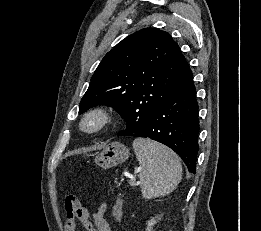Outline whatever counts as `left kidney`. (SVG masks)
I'll return each instance as SVG.
<instances>
[{"label":"left kidney","instance_id":"left-kidney-1","mask_svg":"<svg viewBox=\"0 0 261 231\" xmlns=\"http://www.w3.org/2000/svg\"><path fill=\"white\" fill-rule=\"evenodd\" d=\"M155 223H156L155 218H152L150 221H148L146 231H152V227L154 226Z\"/></svg>","mask_w":261,"mask_h":231}]
</instances>
